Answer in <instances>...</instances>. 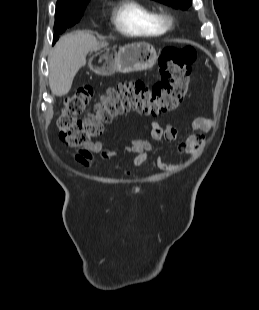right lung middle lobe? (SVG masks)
Here are the masks:
<instances>
[{
  "instance_id": "1",
  "label": "right lung middle lobe",
  "mask_w": 259,
  "mask_h": 310,
  "mask_svg": "<svg viewBox=\"0 0 259 310\" xmlns=\"http://www.w3.org/2000/svg\"><path fill=\"white\" fill-rule=\"evenodd\" d=\"M90 0L82 1L80 4L73 7L66 8H56L55 12V25H54V38L53 42L59 39V35L64 32L67 28L73 26L75 23L79 22L84 14V9L86 4Z\"/></svg>"
}]
</instances>
